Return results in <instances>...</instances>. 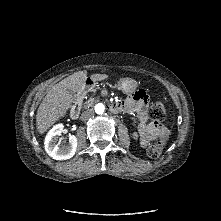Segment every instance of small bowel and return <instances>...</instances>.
<instances>
[{"instance_id":"small-bowel-1","label":"small bowel","mask_w":221,"mask_h":221,"mask_svg":"<svg viewBox=\"0 0 221 221\" xmlns=\"http://www.w3.org/2000/svg\"><path fill=\"white\" fill-rule=\"evenodd\" d=\"M126 111L134 112L138 118V132L140 143L146 147L151 141L159 138L165 131V127L154 121H150L147 113V97L144 93L135 92L125 101Z\"/></svg>"}]
</instances>
